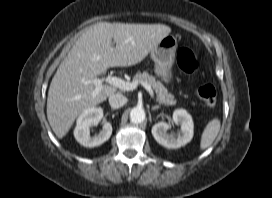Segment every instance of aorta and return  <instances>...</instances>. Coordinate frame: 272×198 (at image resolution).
I'll list each match as a JSON object with an SVG mask.
<instances>
[{
	"label": "aorta",
	"instance_id": "obj_1",
	"mask_svg": "<svg viewBox=\"0 0 272 198\" xmlns=\"http://www.w3.org/2000/svg\"><path fill=\"white\" fill-rule=\"evenodd\" d=\"M145 117V111L141 107H134L130 112V120L132 123H142L145 120Z\"/></svg>",
	"mask_w": 272,
	"mask_h": 198
}]
</instances>
